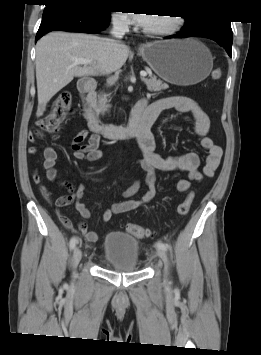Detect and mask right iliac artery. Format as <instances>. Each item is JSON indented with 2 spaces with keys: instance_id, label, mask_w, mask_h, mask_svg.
Instances as JSON below:
<instances>
[{
  "instance_id": "right-iliac-artery-1",
  "label": "right iliac artery",
  "mask_w": 261,
  "mask_h": 355,
  "mask_svg": "<svg viewBox=\"0 0 261 355\" xmlns=\"http://www.w3.org/2000/svg\"><path fill=\"white\" fill-rule=\"evenodd\" d=\"M76 244H77V237H72L69 242L70 249L73 250L75 248Z\"/></svg>"
}]
</instances>
